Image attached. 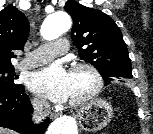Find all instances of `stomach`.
<instances>
[{"mask_svg":"<svg viewBox=\"0 0 153 134\" xmlns=\"http://www.w3.org/2000/svg\"><path fill=\"white\" fill-rule=\"evenodd\" d=\"M112 118L110 103L102 99L91 100L78 111L80 127L86 132H97L105 128Z\"/></svg>","mask_w":153,"mask_h":134,"instance_id":"stomach-1","label":"stomach"}]
</instances>
